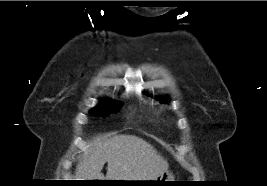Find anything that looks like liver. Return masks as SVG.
Listing matches in <instances>:
<instances>
[{
  "label": "liver",
  "instance_id": "6515ba94",
  "mask_svg": "<svg viewBox=\"0 0 267 186\" xmlns=\"http://www.w3.org/2000/svg\"><path fill=\"white\" fill-rule=\"evenodd\" d=\"M106 162L104 177L101 171ZM168 166L143 139L117 135L105 141L95 139L88 154L77 164L75 177L77 180L150 181L167 171Z\"/></svg>",
  "mask_w": 267,
  "mask_h": 186
}]
</instances>
